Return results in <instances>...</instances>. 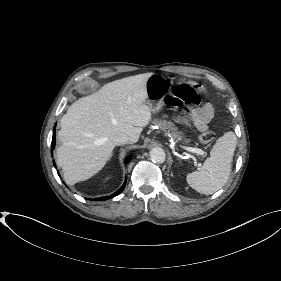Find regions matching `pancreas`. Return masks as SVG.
<instances>
[{
	"label": "pancreas",
	"mask_w": 281,
	"mask_h": 281,
	"mask_svg": "<svg viewBox=\"0 0 281 281\" xmlns=\"http://www.w3.org/2000/svg\"><path fill=\"white\" fill-rule=\"evenodd\" d=\"M154 124H156L161 130L169 133L171 138H173L174 140L181 139V134L173 122L156 119V120H154Z\"/></svg>",
	"instance_id": "1"
}]
</instances>
